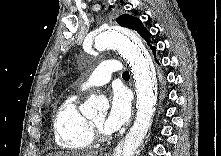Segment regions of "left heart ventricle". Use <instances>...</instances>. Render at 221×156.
I'll list each match as a JSON object with an SVG mask.
<instances>
[{
	"label": "left heart ventricle",
	"mask_w": 221,
	"mask_h": 156,
	"mask_svg": "<svg viewBox=\"0 0 221 156\" xmlns=\"http://www.w3.org/2000/svg\"><path fill=\"white\" fill-rule=\"evenodd\" d=\"M104 120H105V115H100V116H97L95 118H93V122L98 125L100 128L103 129V123H104ZM104 130V129H103Z\"/></svg>",
	"instance_id": "b2bd125f"
}]
</instances>
